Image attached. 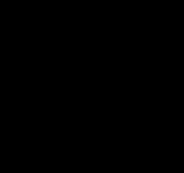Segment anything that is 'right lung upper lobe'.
I'll return each instance as SVG.
<instances>
[{
  "label": "right lung upper lobe",
  "instance_id": "obj_1",
  "mask_svg": "<svg viewBox=\"0 0 184 173\" xmlns=\"http://www.w3.org/2000/svg\"><path fill=\"white\" fill-rule=\"evenodd\" d=\"M77 55L74 48L57 47L44 54L22 80L12 105V118L18 134L70 118L62 106L69 100L66 80Z\"/></svg>",
  "mask_w": 184,
  "mask_h": 173
}]
</instances>
